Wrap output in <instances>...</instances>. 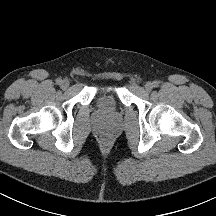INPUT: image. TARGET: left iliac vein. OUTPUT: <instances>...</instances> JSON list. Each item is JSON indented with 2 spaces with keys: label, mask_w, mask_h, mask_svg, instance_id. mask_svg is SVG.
Returning a JSON list of instances; mask_svg holds the SVG:
<instances>
[{
  "label": "left iliac vein",
  "mask_w": 216,
  "mask_h": 216,
  "mask_svg": "<svg viewBox=\"0 0 216 216\" xmlns=\"http://www.w3.org/2000/svg\"><path fill=\"white\" fill-rule=\"evenodd\" d=\"M152 89H153V84H152L151 82H147V83L145 84V90H146L147 92H150Z\"/></svg>",
  "instance_id": "4c4485c4"
}]
</instances>
